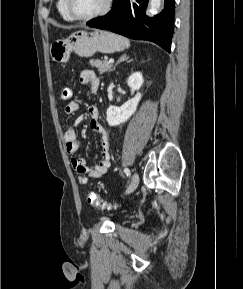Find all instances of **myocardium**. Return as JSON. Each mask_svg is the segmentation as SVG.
I'll return each mask as SVG.
<instances>
[{
    "label": "myocardium",
    "instance_id": "obj_1",
    "mask_svg": "<svg viewBox=\"0 0 243 289\" xmlns=\"http://www.w3.org/2000/svg\"><path fill=\"white\" fill-rule=\"evenodd\" d=\"M113 5V0H106L104 7L97 13L90 16H77L72 10V1L66 0V10L69 16L76 21H90L105 16L109 13Z\"/></svg>",
    "mask_w": 243,
    "mask_h": 289
}]
</instances>
